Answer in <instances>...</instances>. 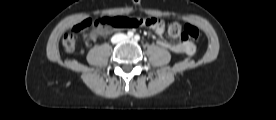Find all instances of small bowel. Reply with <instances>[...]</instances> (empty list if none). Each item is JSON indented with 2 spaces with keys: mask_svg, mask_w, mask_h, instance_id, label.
<instances>
[{
  "mask_svg": "<svg viewBox=\"0 0 276 120\" xmlns=\"http://www.w3.org/2000/svg\"><path fill=\"white\" fill-rule=\"evenodd\" d=\"M154 30L158 35H160L164 32V25L162 24L160 27H155ZM103 33H105V31H103V30H94L90 33L89 38L94 41L97 39V37L100 34H103ZM158 45L162 48L169 49L175 53H183L188 56L193 55L196 50L195 45L193 43L184 42V41L181 43H177V44H170L164 40H160L158 42Z\"/></svg>",
  "mask_w": 276,
  "mask_h": 120,
  "instance_id": "c3829d8e",
  "label": "small bowel"
}]
</instances>
